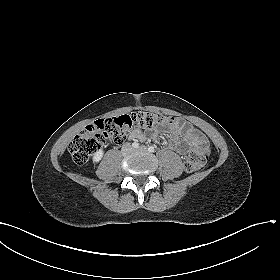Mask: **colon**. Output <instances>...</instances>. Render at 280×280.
Returning a JSON list of instances; mask_svg holds the SVG:
<instances>
[{
	"label": "colon",
	"mask_w": 280,
	"mask_h": 280,
	"mask_svg": "<svg viewBox=\"0 0 280 280\" xmlns=\"http://www.w3.org/2000/svg\"><path fill=\"white\" fill-rule=\"evenodd\" d=\"M173 120L172 117L147 111L97 120L73 139L69 151L75 163L85 164L104 145L123 142L130 128L152 129ZM207 159L208 146L195 145L185 160V170L195 172L205 165Z\"/></svg>",
	"instance_id": "obj_1"
}]
</instances>
